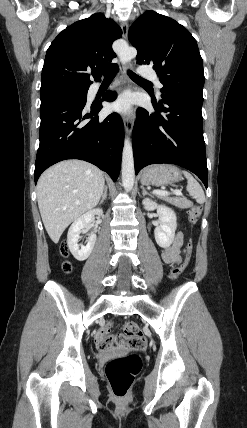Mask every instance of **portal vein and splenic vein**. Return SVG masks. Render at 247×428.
Listing matches in <instances>:
<instances>
[{
    "mask_svg": "<svg viewBox=\"0 0 247 428\" xmlns=\"http://www.w3.org/2000/svg\"><path fill=\"white\" fill-rule=\"evenodd\" d=\"M153 193L157 194V195H161V196H165V195L169 194L167 191H163V190H154ZM173 194L181 196L182 192L180 190L176 189V190L173 191Z\"/></svg>",
    "mask_w": 247,
    "mask_h": 428,
    "instance_id": "1",
    "label": "portal vein and splenic vein"
}]
</instances>
